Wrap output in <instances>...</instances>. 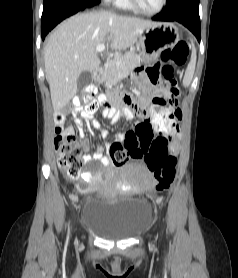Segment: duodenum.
Returning <instances> with one entry per match:
<instances>
[{"mask_svg":"<svg viewBox=\"0 0 238 278\" xmlns=\"http://www.w3.org/2000/svg\"><path fill=\"white\" fill-rule=\"evenodd\" d=\"M93 77L96 81H101L104 77V72L102 68H97L95 69L93 73Z\"/></svg>","mask_w":238,"mask_h":278,"instance_id":"410a0bca","label":"duodenum"}]
</instances>
